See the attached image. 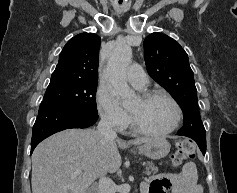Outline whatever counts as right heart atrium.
I'll return each instance as SVG.
<instances>
[{
	"label": "right heart atrium",
	"instance_id": "obj_1",
	"mask_svg": "<svg viewBox=\"0 0 237 193\" xmlns=\"http://www.w3.org/2000/svg\"><path fill=\"white\" fill-rule=\"evenodd\" d=\"M96 100L101 119L117 131L125 130L129 123L128 114L118 104L112 93L105 87H99Z\"/></svg>",
	"mask_w": 237,
	"mask_h": 193
}]
</instances>
